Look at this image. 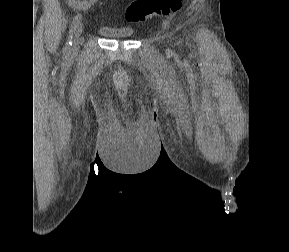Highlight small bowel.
I'll return each instance as SVG.
<instances>
[{
  "label": "small bowel",
  "mask_w": 289,
  "mask_h": 252,
  "mask_svg": "<svg viewBox=\"0 0 289 252\" xmlns=\"http://www.w3.org/2000/svg\"><path fill=\"white\" fill-rule=\"evenodd\" d=\"M99 0H67L68 5L74 10L85 11L96 4Z\"/></svg>",
  "instance_id": "1"
}]
</instances>
